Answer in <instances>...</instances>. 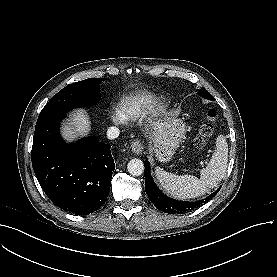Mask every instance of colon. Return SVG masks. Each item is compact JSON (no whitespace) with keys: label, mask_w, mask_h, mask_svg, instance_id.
I'll return each instance as SVG.
<instances>
[{"label":"colon","mask_w":277,"mask_h":277,"mask_svg":"<svg viewBox=\"0 0 277 277\" xmlns=\"http://www.w3.org/2000/svg\"><path fill=\"white\" fill-rule=\"evenodd\" d=\"M216 116L217 112L213 108L207 112L206 122L201 125L198 136H196L192 142L194 148L202 149L207 140L214 134Z\"/></svg>","instance_id":"colon-1"}]
</instances>
